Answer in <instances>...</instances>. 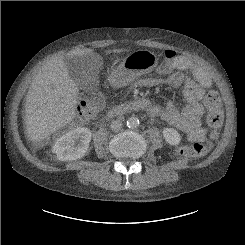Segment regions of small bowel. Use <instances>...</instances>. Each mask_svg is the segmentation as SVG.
<instances>
[{"instance_id":"obj_1","label":"small bowel","mask_w":245,"mask_h":245,"mask_svg":"<svg viewBox=\"0 0 245 245\" xmlns=\"http://www.w3.org/2000/svg\"><path fill=\"white\" fill-rule=\"evenodd\" d=\"M165 58L168 61L164 72L167 73L166 79H148L145 82L150 84L165 83L171 87H183V96L186 105L182 109H178L173 101H168L164 106H154L147 110V114L151 116H159L170 125L187 133L190 141L201 140L206 137L207 131L200 124V116L204 112L201 104L205 92L212 89V78L204 68L194 63L184 55H175L173 58ZM184 72H189L192 79L186 80ZM210 113L211 110L209 109ZM221 112V109L219 108Z\"/></svg>"}]
</instances>
